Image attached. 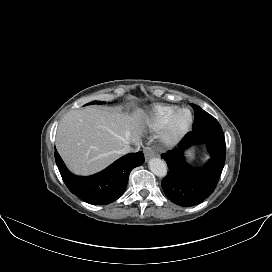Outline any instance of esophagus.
<instances>
[{
  "instance_id": "1",
  "label": "esophagus",
  "mask_w": 272,
  "mask_h": 272,
  "mask_svg": "<svg viewBox=\"0 0 272 272\" xmlns=\"http://www.w3.org/2000/svg\"><path fill=\"white\" fill-rule=\"evenodd\" d=\"M144 154H145V159L148 160L154 156V151L151 148L146 147L144 148Z\"/></svg>"
}]
</instances>
